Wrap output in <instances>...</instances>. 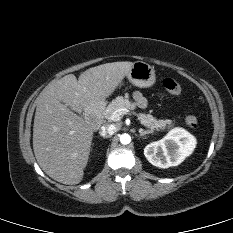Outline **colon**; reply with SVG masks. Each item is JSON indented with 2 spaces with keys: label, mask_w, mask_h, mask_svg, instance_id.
<instances>
[{
  "label": "colon",
  "mask_w": 233,
  "mask_h": 233,
  "mask_svg": "<svg viewBox=\"0 0 233 233\" xmlns=\"http://www.w3.org/2000/svg\"><path fill=\"white\" fill-rule=\"evenodd\" d=\"M163 87L172 95H178L181 93V86L177 80L172 77H165L162 80ZM186 124L192 128L198 125V119L194 115H188L185 119Z\"/></svg>",
  "instance_id": "1"
}]
</instances>
